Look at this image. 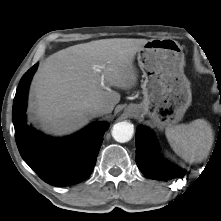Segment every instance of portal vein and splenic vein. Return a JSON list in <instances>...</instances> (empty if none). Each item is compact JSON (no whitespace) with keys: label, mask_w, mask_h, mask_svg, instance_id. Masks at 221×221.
Wrapping results in <instances>:
<instances>
[{"label":"portal vein and splenic vein","mask_w":221,"mask_h":221,"mask_svg":"<svg viewBox=\"0 0 221 221\" xmlns=\"http://www.w3.org/2000/svg\"><path fill=\"white\" fill-rule=\"evenodd\" d=\"M101 85L104 86V79L101 80Z\"/></svg>","instance_id":"1"}]
</instances>
